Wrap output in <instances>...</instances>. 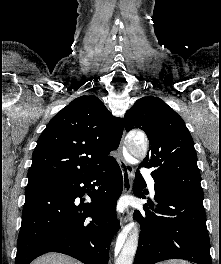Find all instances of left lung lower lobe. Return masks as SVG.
<instances>
[{
    "mask_svg": "<svg viewBox=\"0 0 221 264\" xmlns=\"http://www.w3.org/2000/svg\"><path fill=\"white\" fill-rule=\"evenodd\" d=\"M146 186L137 171L134 194L145 198ZM156 207L135 211L141 227L134 264H154L167 259H186L197 264H212L206 227L203 196L175 190L155 182Z\"/></svg>",
    "mask_w": 221,
    "mask_h": 264,
    "instance_id": "0a47b994",
    "label": "left lung lower lobe"
}]
</instances>
